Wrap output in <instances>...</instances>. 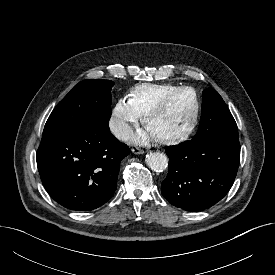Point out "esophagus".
<instances>
[{"instance_id":"34e87169","label":"esophagus","mask_w":275,"mask_h":275,"mask_svg":"<svg viewBox=\"0 0 275 275\" xmlns=\"http://www.w3.org/2000/svg\"><path fill=\"white\" fill-rule=\"evenodd\" d=\"M132 152H133L134 154H143V153H144V150H143V149H140V148H138V147H135V148L132 149Z\"/></svg>"}]
</instances>
